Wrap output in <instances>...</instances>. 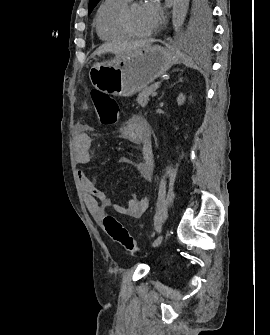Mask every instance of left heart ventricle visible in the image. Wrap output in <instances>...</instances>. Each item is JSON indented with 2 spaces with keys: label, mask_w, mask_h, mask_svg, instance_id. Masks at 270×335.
<instances>
[{
  "label": "left heart ventricle",
  "mask_w": 270,
  "mask_h": 335,
  "mask_svg": "<svg viewBox=\"0 0 270 335\" xmlns=\"http://www.w3.org/2000/svg\"><path fill=\"white\" fill-rule=\"evenodd\" d=\"M128 24L130 29L136 34L141 35L145 32L143 16L139 6H135L131 9L128 15Z\"/></svg>",
  "instance_id": "b2bd125f"
}]
</instances>
